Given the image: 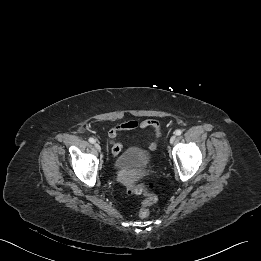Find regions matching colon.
Returning a JSON list of instances; mask_svg holds the SVG:
<instances>
[{"mask_svg":"<svg viewBox=\"0 0 261 261\" xmlns=\"http://www.w3.org/2000/svg\"><path fill=\"white\" fill-rule=\"evenodd\" d=\"M155 188L156 186L152 182H145L140 185H133L128 187V194L144 196V200L138 212L139 217L147 218L149 216V207L156 201Z\"/></svg>","mask_w":261,"mask_h":261,"instance_id":"obj_1","label":"colon"}]
</instances>
